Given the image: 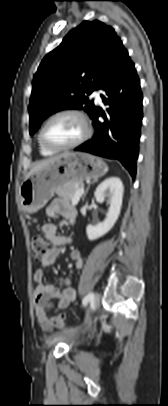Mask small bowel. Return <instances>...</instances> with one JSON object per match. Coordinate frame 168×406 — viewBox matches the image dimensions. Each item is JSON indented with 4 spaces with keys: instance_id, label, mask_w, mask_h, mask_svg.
Here are the masks:
<instances>
[{
    "instance_id": "obj_1",
    "label": "small bowel",
    "mask_w": 168,
    "mask_h": 406,
    "mask_svg": "<svg viewBox=\"0 0 168 406\" xmlns=\"http://www.w3.org/2000/svg\"><path fill=\"white\" fill-rule=\"evenodd\" d=\"M46 213L52 218L62 215L69 221H73L76 216V212L72 207L59 200L53 201L47 207ZM42 231L45 239L53 245V250L49 258L41 263L40 268L37 269L33 275V279L37 283L35 291V313L39 325L48 330L51 328V325L47 318V310L53 306V301H55V306L58 311L67 309L76 298V290L71 287V280L69 278L63 280L62 283L65 285V288L62 290L52 284L43 283L45 270L54 265L57 256L60 254V248L70 244L72 239L67 236L59 235L58 226L55 223H45L42 226ZM70 259L76 268H82L83 257L79 251L73 250L70 253Z\"/></svg>"
}]
</instances>
